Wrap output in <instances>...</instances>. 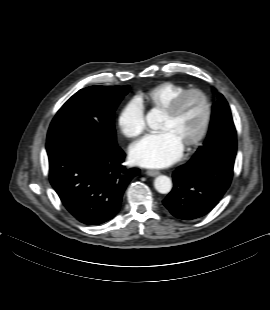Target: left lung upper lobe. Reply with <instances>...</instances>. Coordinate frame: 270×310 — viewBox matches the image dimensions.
Listing matches in <instances>:
<instances>
[{
	"label": "left lung upper lobe",
	"mask_w": 270,
	"mask_h": 310,
	"mask_svg": "<svg viewBox=\"0 0 270 310\" xmlns=\"http://www.w3.org/2000/svg\"><path fill=\"white\" fill-rule=\"evenodd\" d=\"M236 151V129L231 111L223 95L219 94L218 102L212 107L207 139L191 160L233 167Z\"/></svg>",
	"instance_id": "5c2ea615"
}]
</instances>
